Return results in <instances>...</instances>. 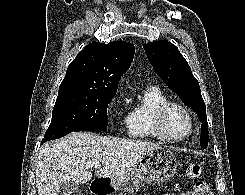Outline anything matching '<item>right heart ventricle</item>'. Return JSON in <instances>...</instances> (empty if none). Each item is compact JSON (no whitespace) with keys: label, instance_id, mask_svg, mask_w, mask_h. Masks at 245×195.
Here are the masks:
<instances>
[{"label":"right heart ventricle","instance_id":"1","mask_svg":"<svg viewBox=\"0 0 245 195\" xmlns=\"http://www.w3.org/2000/svg\"><path fill=\"white\" fill-rule=\"evenodd\" d=\"M169 101L166 94L156 86L143 89L140 102L132 105L127 113V132L139 139H160L153 128L152 117L155 109Z\"/></svg>","mask_w":245,"mask_h":195}]
</instances>
